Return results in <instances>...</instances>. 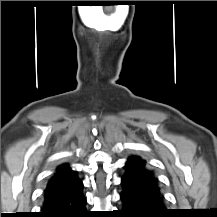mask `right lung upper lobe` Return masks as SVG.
Here are the masks:
<instances>
[{
	"label": "right lung upper lobe",
	"instance_id": "cb5924a9",
	"mask_svg": "<svg viewBox=\"0 0 217 217\" xmlns=\"http://www.w3.org/2000/svg\"><path fill=\"white\" fill-rule=\"evenodd\" d=\"M82 182L78 179L76 173L67 164L59 166L54 176L50 179L44 200L60 197L70 194L82 187Z\"/></svg>",
	"mask_w": 217,
	"mask_h": 217
}]
</instances>
